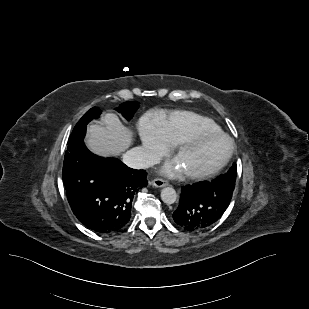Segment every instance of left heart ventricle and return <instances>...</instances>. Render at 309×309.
<instances>
[{"mask_svg":"<svg viewBox=\"0 0 309 309\" xmlns=\"http://www.w3.org/2000/svg\"><path fill=\"white\" fill-rule=\"evenodd\" d=\"M228 143L223 138H204L184 149L176 156L182 171H206L217 165L224 157Z\"/></svg>","mask_w":309,"mask_h":309,"instance_id":"left-heart-ventricle-1","label":"left heart ventricle"}]
</instances>
